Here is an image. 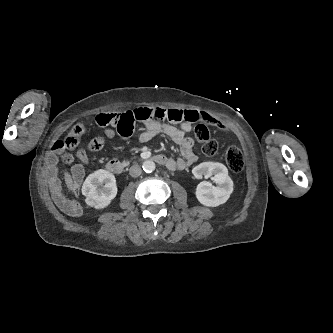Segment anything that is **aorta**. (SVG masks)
Returning a JSON list of instances; mask_svg holds the SVG:
<instances>
[{"label": "aorta", "instance_id": "aorta-1", "mask_svg": "<svg viewBox=\"0 0 333 333\" xmlns=\"http://www.w3.org/2000/svg\"><path fill=\"white\" fill-rule=\"evenodd\" d=\"M143 170L146 172V173H151V172H153L154 170H155V168H156V165H155V163L153 162V161H151V160H148V161H145L144 163H143Z\"/></svg>", "mask_w": 333, "mask_h": 333}]
</instances>
